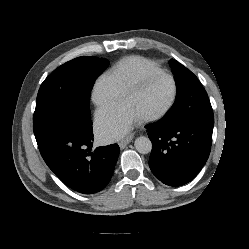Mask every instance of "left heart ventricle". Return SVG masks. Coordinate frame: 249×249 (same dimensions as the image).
Instances as JSON below:
<instances>
[{"mask_svg": "<svg viewBox=\"0 0 249 249\" xmlns=\"http://www.w3.org/2000/svg\"><path fill=\"white\" fill-rule=\"evenodd\" d=\"M172 94V83L166 77H158L147 83L142 89L125 98L132 110L145 117L161 110Z\"/></svg>", "mask_w": 249, "mask_h": 249, "instance_id": "1", "label": "left heart ventricle"}]
</instances>
